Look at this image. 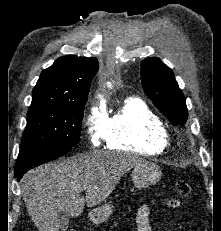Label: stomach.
<instances>
[{
  "label": "stomach",
  "mask_w": 221,
  "mask_h": 231,
  "mask_svg": "<svg viewBox=\"0 0 221 231\" xmlns=\"http://www.w3.org/2000/svg\"><path fill=\"white\" fill-rule=\"evenodd\" d=\"M132 181L139 188L156 184L162 177L158 165L153 162L143 161L136 165L132 171ZM114 206L111 203L94 208L89 217L92 222L100 224L108 220L113 212Z\"/></svg>",
  "instance_id": "obj_1"
}]
</instances>
